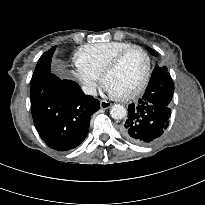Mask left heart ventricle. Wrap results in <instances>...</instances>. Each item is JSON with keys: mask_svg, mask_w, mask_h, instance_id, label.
<instances>
[{"mask_svg": "<svg viewBox=\"0 0 205 205\" xmlns=\"http://www.w3.org/2000/svg\"><path fill=\"white\" fill-rule=\"evenodd\" d=\"M145 68L144 56L139 51H132L107 77L106 87L116 95H125L139 85L144 76Z\"/></svg>", "mask_w": 205, "mask_h": 205, "instance_id": "left-heart-ventricle-1", "label": "left heart ventricle"}]
</instances>
